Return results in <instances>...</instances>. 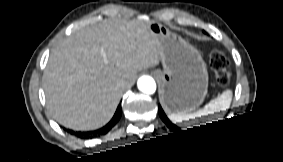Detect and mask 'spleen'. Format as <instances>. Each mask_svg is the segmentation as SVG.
<instances>
[{"label":"spleen","instance_id":"1","mask_svg":"<svg viewBox=\"0 0 283 162\" xmlns=\"http://www.w3.org/2000/svg\"><path fill=\"white\" fill-rule=\"evenodd\" d=\"M232 97V95H231V93H225V94H223L221 97H219L218 99H216L215 101H213V103L215 104V102H216V104H222V103H224V102H227L228 101V99H230ZM212 106V105H211ZM214 106V105H213ZM219 107V106H218ZM227 107V106H226ZM225 106L222 108V109H225L226 108ZM221 109V108H220ZM219 111V110H218ZM175 113H177V111H171V110H169L168 111V115L171 117V118H173V119H181V116H179V115H176ZM207 113H212L211 111H208V110H203V111H201V112H199L198 114H197V116H201V115H205V114H207ZM196 115H187V116H185V119H189V118H194ZM212 119H214V118H212ZM178 121V120H177Z\"/></svg>","mask_w":283,"mask_h":162}]
</instances>
